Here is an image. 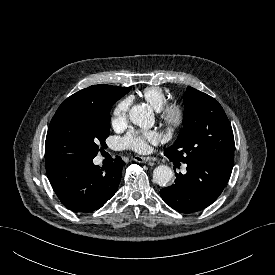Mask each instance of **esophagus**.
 <instances>
[{"label": "esophagus", "instance_id": "34e87169", "mask_svg": "<svg viewBox=\"0 0 275 275\" xmlns=\"http://www.w3.org/2000/svg\"><path fill=\"white\" fill-rule=\"evenodd\" d=\"M133 159L136 162H139V163H147V162H154V161H156V158L142 157V156H135Z\"/></svg>", "mask_w": 275, "mask_h": 275}]
</instances>
